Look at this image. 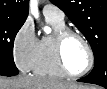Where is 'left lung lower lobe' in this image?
Returning <instances> with one entry per match:
<instances>
[{"label": "left lung lower lobe", "mask_w": 107, "mask_h": 89, "mask_svg": "<svg viewBox=\"0 0 107 89\" xmlns=\"http://www.w3.org/2000/svg\"><path fill=\"white\" fill-rule=\"evenodd\" d=\"M78 81L97 84L107 88V55L94 62V68L91 73Z\"/></svg>", "instance_id": "obj_1"}]
</instances>
